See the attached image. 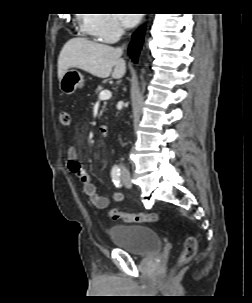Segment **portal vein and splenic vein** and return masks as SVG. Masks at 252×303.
<instances>
[{
  "label": "portal vein and splenic vein",
  "instance_id": "portal-vein-and-splenic-vein-1",
  "mask_svg": "<svg viewBox=\"0 0 252 303\" xmlns=\"http://www.w3.org/2000/svg\"><path fill=\"white\" fill-rule=\"evenodd\" d=\"M111 96H112L111 91H109V90H103L99 94V99L100 100H108V99L111 98Z\"/></svg>",
  "mask_w": 252,
  "mask_h": 303
}]
</instances>
